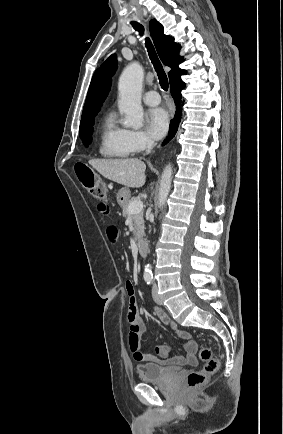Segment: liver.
<instances>
[{
    "instance_id": "6515ba94",
    "label": "liver",
    "mask_w": 283,
    "mask_h": 434,
    "mask_svg": "<svg viewBox=\"0 0 283 434\" xmlns=\"http://www.w3.org/2000/svg\"><path fill=\"white\" fill-rule=\"evenodd\" d=\"M105 178L130 188L145 184L146 165L140 159H91L88 162Z\"/></svg>"
}]
</instances>
